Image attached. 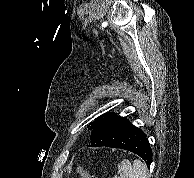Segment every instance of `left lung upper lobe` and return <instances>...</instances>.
I'll return each instance as SVG.
<instances>
[{
  "instance_id": "5c2ea615",
  "label": "left lung upper lobe",
  "mask_w": 194,
  "mask_h": 178,
  "mask_svg": "<svg viewBox=\"0 0 194 178\" xmlns=\"http://www.w3.org/2000/svg\"><path fill=\"white\" fill-rule=\"evenodd\" d=\"M104 116H105V114H103V115H101L100 117L96 118L95 121L91 122V123L88 125V128H89L90 130H93V129L95 128V126L97 125V123L99 122V120H100L102 117H104Z\"/></svg>"
}]
</instances>
